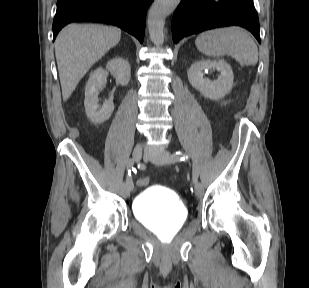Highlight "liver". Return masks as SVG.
<instances>
[{
	"label": "liver",
	"mask_w": 309,
	"mask_h": 288,
	"mask_svg": "<svg viewBox=\"0 0 309 288\" xmlns=\"http://www.w3.org/2000/svg\"><path fill=\"white\" fill-rule=\"evenodd\" d=\"M121 39L117 27L95 24H69L58 34L55 56L66 101L91 66Z\"/></svg>",
	"instance_id": "1"
}]
</instances>
